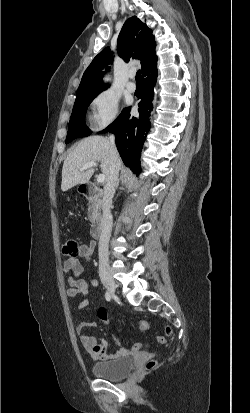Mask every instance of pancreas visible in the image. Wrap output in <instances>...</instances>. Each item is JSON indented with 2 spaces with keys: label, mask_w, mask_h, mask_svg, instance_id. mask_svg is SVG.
I'll return each instance as SVG.
<instances>
[{
  "label": "pancreas",
  "mask_w": 250,
  "mask_h": 413,
  "mask_svg": "<svg viewBox=\"0 0 250 413\" xmlns=\"http://www.w3.org/2000/svg\"><path fill=\"white\" fill-rule=\"evenodd\" d=\"M101 201L97 197H92L88 204V217L91 222H94L99 216Z\"/></svg>",
  "instance_id": "cf45deb5"
}]
</instances>
